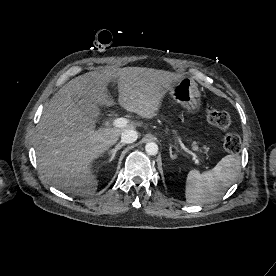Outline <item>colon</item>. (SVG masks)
<instances>
[{"mask_svg": "<svg viewBox=\"0 0 276 276\" xmlns=\"http://www.w3.org/2000/svg\"><path fill=\"white\" fill-rule=\"evenodd\" d=\"M207 121L223 130L226 131L231 124L230 116L228 113L218 110L213 107H208L206 110ZM223 147L229 152H238L241 149L240 137L233 133H226L222 138Z\"/></svg>", "mask_w": 276, "mask_h": 276, "instance_id": "1", "label": "colon"}]
</instances>
